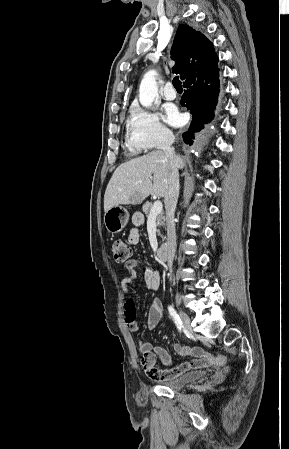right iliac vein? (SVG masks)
<instances>
[{"label": "right iliac vein", "instance_id": "obj_1", "mask_svg": "<svg viewBox=\"0 0 289 449\" xmlns=\"http://www.w3.org/2000/svg\"><path fill=\"white\" fill-rule=\"evenodd\" d=\"M179 314H180V317H181V319H182L183 327H184L188 332H191L192 327H191V321H190L189 316L187 315V313H186L185 311H183V310H181V309L179 310Z\"/></svg>", "mask_w": 289, "mask_h": 449}]
</instances>
